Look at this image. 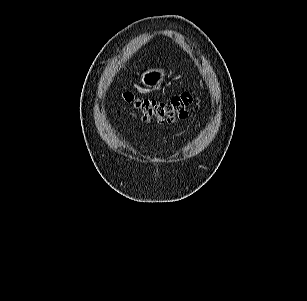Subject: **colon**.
I'll return each mask as SVG.
<instances>
[{"instance_id": "1", "label": "colon", "mask_w": 307, "mask_h": 301, "mask_svg": "<svg viewBox=\"0 0 307 301\" xmlns=\"http://www.w3.org/2000/svg\"><path fill=\"white\" fill-rule=\"evenodd\" d=\"M124 101L133 113H138L145 121L169 123L188 115L194 104V93L184 91L167 100L137 98L131 93L123 95Z\"/></svg>"}]
</instances>
